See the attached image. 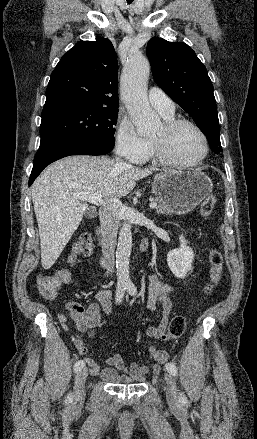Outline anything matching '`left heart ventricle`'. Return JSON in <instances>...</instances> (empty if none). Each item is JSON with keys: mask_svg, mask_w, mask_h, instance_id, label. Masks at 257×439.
Here are the masks:
<instances>
[{"mask_svg": "<svg viewBox=\"0 0 257 439\" xmlns=\"http://www.w3.org/2000/svg\"><path fill=\"white\" fill-rule=\"evenodd\" d=\"M166 140V147L176 160L191 162L200 157L204 145L199 134L191 127L184 126L178 129L171 136L167 137L161 126L153 135Z\"/></svg>", "mask_w": 257, "mask_h": 439, "instance_id": "obj_1", "label": "left heart ventricle"}]
</instances>
